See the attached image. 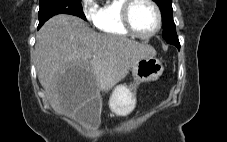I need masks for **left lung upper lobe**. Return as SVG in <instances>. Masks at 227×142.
<instances>
[{
    "mask_svg": "<svg viewBox=\"0 0 227 142\" xmlns=\"http://www.w3.org/2000/svg\"><path fill=\"white\" fill-rule=\"evenodd\" d=\"M159 6L162 14L163 22V38L170 44L175 45L178 49L180 48V43L176 33L175 23L172 16V0H154Z\"/></svg>",
    "mask_w": 227,
    "mask_h": 142,
    "instance_id": "left-lung-upper-lobe-1",
    "label": "left lung upper lobe"
}]
</instances>
